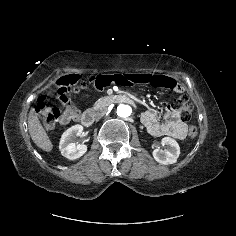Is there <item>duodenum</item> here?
<instances>
[{
	"label": "duodenum",
	"instance_id": "1",
	"mask_svg": "<svg viewBox=\"0 0 236 236\" xmlns=\"http://www.w3.org/2000/svg\"><path fill=\"white\" fill-rule=\"evenodd\" d=\"M113 101L118 103L133 104V100L125 95H117L113 98ZM79 118L84 126H92L95 121V111L84 112Z\"/></svg>",
	"mask_w": 236,
	"mask_h": 236
}]
</instances>
